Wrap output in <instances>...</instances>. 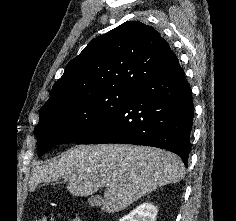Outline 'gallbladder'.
Here are the masks:
<instances>
[{
  "mask_svg": "<svg viewBox=\"0 0 236 221\" xmlns=\"http://www.w3.org/2000/svg\"><path fill=\"white\" fill-rule=\"evenodd\" d=\"M91 206H100L102 204V198L98 195L92 196L88 199Z\"/></svg>",
  "mask_w": 236,
  "mask_h": 221,
  "instance_id": "1",
  "label": "gallbladder"
}]
</instances>
